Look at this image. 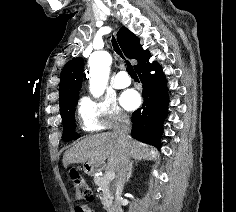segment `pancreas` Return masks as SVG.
Returning <instances> with one entry per match:
<instances>
[{"instance_id": "obj_1", "label": "pancreas", "mask_w": 236, "mask_h": 212, "mask_svg": "<svg viewBox=\"0 0 236 212\" xmlns=\"http://www.w3.org/2000/svg\"><path fill=\"white\" fill-rule=\"evenodd\" d=\"M94 183L99 187V189L102 191L101 201L104 208H109L112 199L113 194L111 191L110 181L105 177H94Z\"/></svg>"}]
</instances>
